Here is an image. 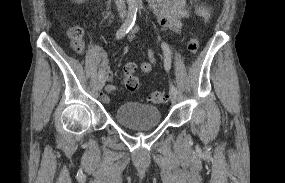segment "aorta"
Masks as SVG:
<instances>
[{
  "label": "aorta",
  "instance_id": "obj_1",
  "mask_svg": "<svg viewBox=\"0 0 285 183\" xmlns=\"http://www.w3.org/2000/svg\"><path fill=\"white\" fill-rule=\"evenodd\" d=\"M128 2V7L130 9L137 10L139 6V0H127Z\"/></svg>",
  "mask_w": 285,
  "mask_h": 183
}]
</instances>
